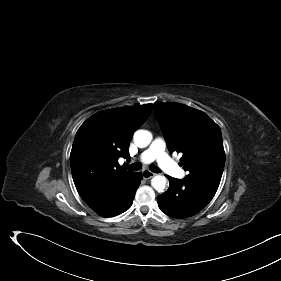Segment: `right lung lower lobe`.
I'll list each match as a JSON object with an SVG mask.
<instances>
[{"instance_id": "98d812e1", "label": "right lung lower lobe", "mask_w": 281, "mask_h": 281, "mask_svg": "<svg viewBox=\"0 0 281 281\" xmlns=\"http://www.w3.org/2000/svg\"><path fill=\"white\" fill-rule=\"evenodd\" d=\"M141 179H142V174L136 173L135 176H134L132 184L130 185L127 193L123 197L120 204L115 209H113L111 211H107V212H103V213H99V214L104 216V217H113V216L119 215L122 212L129 209L132 205V202H133V199H134V196H135V192L140 185Z\"/></svg>"}]
</instances>
